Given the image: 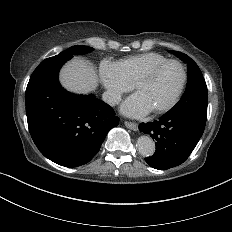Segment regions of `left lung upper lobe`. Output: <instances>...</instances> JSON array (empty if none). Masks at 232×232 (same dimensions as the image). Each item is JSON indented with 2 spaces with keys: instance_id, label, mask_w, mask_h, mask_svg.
I'll return each instance as SVG.
<instances>
[{
  "instance_id": "5c2ea615",
  "label": "left lung upper lobe",
  "mask_w": 232,
  "mask_h": 232,
  "mask_svg": "<svg viewBox=\"0 0 232 232\" xmlns=\"http://www.w3.org/2000/svg\"><path fill=\"white\" fill-rule=\"evenodd\" d=\"M187 63L188 82L179 102L167 113L184 114L201 124H206L208 92L207 86L198 65L186 54L169 51Z\"/></svg>"
}]
</instances>
